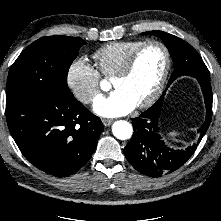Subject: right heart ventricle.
Returning <instances> with one entry per match:
<instances>
[{"mask_svg": "<svg viewBox=\"0 0 221 221\" xmlns=\"http://www.w3.org/2000/svg\"><path fill=\"white\" fill-rule=\"evenodd\" d=\"M143 40L116 41L103 45L93 55L101 73L105 76H114L126 58Z\"/></svg>", "mask_w": 221, "mask_h": 221, "instance_id": "e07e8e85", "label": "right heart ventricle"}]
</instances>
